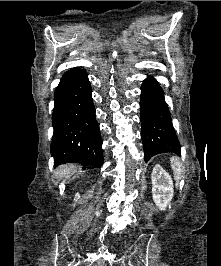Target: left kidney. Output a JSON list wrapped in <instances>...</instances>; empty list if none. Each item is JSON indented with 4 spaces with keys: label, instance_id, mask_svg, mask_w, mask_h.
<instances>
[{
    "label": "left kidney",
    "instance_id": "5707ae66",
    "mask_svg": "<svg viewBox=\"0 0 221 266\" xmlns=\"http://www.w3.org/2000/svg\"><path fill=\"white\" fill-rule=\"evenodd\" d=\"M151 179L153 201L160 210H165L174 194L172 178L160 165H156Z\"/></svg>",
    "mask_w": 221,
    "mask_h": 266
}]
</instances>
